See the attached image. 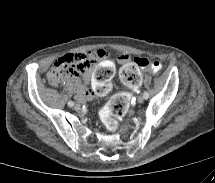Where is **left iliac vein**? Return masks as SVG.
<instances>
[{"mask_svg":"<svg viewBox=\"0 0 215 183\" xmlns=\"http://www.w3.org/2000/svg\"><path fill=\"white\" fill-rule=\"evenodd\" d=\"M144 99H145V98H144L143 96H139L138 99H137V102H138V103H143V102H144Z\"/></svg>","mask_w":215,"mask_h":183,"instance_id":"1","label":"left iliac vein"}]
</instances>
